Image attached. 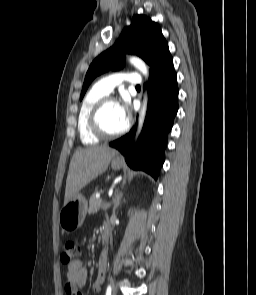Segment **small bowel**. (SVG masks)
<instances>
[{
	"mask_svg": "<svg viewBox=\"0 0 256 295\" xmlns=\"http://www.w3.org/2000/svg\"><path fill=\"white\" fill-rule=\"evenodd\" d=\"M108 252L102 251L98 261V272L92 288L95 292L101 290L107 270ZM88 277L87 269L81 260H75L67 266L65 272L64 291L65 295H82L80 289L86 284Z\"/></svg>",
	"mask_w": 256,
	"mask_h": 295,
	"instance_id": "1",
	"label": "small bowel"
}]
</instances>
